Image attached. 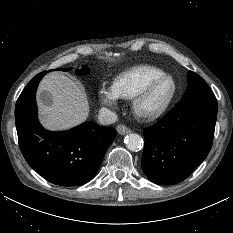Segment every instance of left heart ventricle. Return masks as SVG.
Wrapping results in <instances>:
<instances>
[{
  "label": "left heart ventricle",
  "instance_id": "obj_1",
  "mask_svg": "<svg viewBox=\"0 0 233 233\" xmlns=\"http://www.w3.org/2000/svg\"><path fill=\"white\" fill-rule=\"evenodd\" d=\"M169 90L170 84L168 82L159 85L145 102V107L147 109L157 107L163 101Z\"/></svg>",
  "mask_w": 233,
  "mask_h": 233
}]
</instances>
